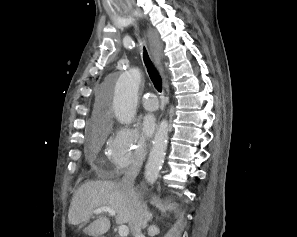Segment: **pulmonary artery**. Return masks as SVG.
<instances>
[{
    "label": "pulmonary artery",
    "mask_w": 297,
    "mask_h": 237,
    "mask_svg": "<svg viewBox=\"0 0 297 237\" xmlns=\"http://www.w3.org/2000/svg\"><path fill=\"white\" fill-rule=\"evenodd\" d=\"M141 103L146 110L154 111L158 108V101L156 100L155 96L151 93H146Z\"/></svg>",
    "instance_id": "obj_1"
}]
</instances>
